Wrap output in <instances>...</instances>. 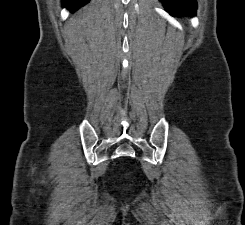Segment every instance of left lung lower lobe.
<instances>
[{"mask_svg":"<svg viewBox=\"0 0 245 225\" xmlns=\"http://www.w3.org/2000/svg\"><path fill=\"white\" fill-rule=\"evenodd\" d=\"M170 15H194L197 9L196 0H160Z\"/></svg>","mask_w":245,"mask_h":225,"instance_id":"left-lung-lower-lobe-1","label":"left lung lower lobe"}]
</instances>
